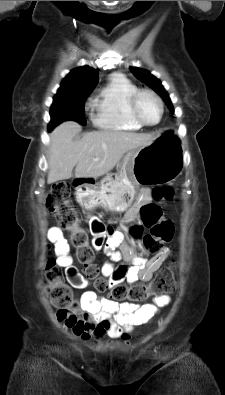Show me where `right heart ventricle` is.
Masks as SVG:
<instances>
[{"mask_svg": "<svg viewBox=\"0 0 225 395\" xmlns=\"http://www.w3.org/2000/svg\"><path fill=\"white\" fill-rule=\"evenodd\" d=\"M137 90L123 75H112L92 102L94 124L106 130H140L129 111V100Z\"/></svg>", "mask_w": 225, "mask_h": 395, "instance_id": "e07e8e85", "label": "right heart ventricle"}]
</instances>
